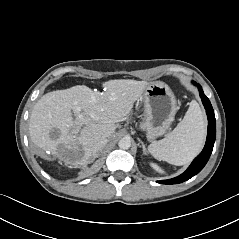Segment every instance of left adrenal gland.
I'll use <instances>...</instances> for the list:
<instances>
[{"mask_svg": "<svg viewBox=\"0 0 239 239\" xmlns=\"http://www.w3.org/2000/svg\"><path fill=\"white\" fill-rule=\"evenodd\" d=\"M138 140H139L140 144L142 145V148H143V154H147L148 151H147V149H146V146H145L144 142H143L142 140H140V139H138Z\"/></svg>", "mask_w": 239, "mask_h": 239, "instance_id": "a2214340", "label": "left adrenal gland"}]
</instances>
